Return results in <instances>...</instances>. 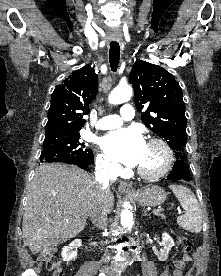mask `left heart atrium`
I'll use <instances>...</instances> for the list:
<instances>
[{
	"label": "left heart atrium",
	"instance_id": "39dd6f15",
	"mask_svg": "<svg viewBox=\"0 0 221 276\" xmlns=\"http://www.w3.org/2000/svg\"><path fill=\"white\" fill-rule=\"evenodd\" d=\"M102 145L111 159L129 167L139 166L146 150L142 134L134 128L121 129L108 134L103 138Z\"/></svg>",
	"mask_w": 221,
	"mask_h": 276
}]
</instances>
